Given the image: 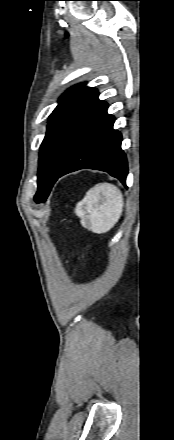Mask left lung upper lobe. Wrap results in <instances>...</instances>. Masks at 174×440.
<instances>
[{
	"instance_id": "1",
	"label": "left lung upper lobe",
	"mask_w": 174,
	"mask_h": 440,
	"mask_svg": "<svg viewBox=\"0 0 174 440\" xmlns=\"http://www.w3.org/2000/svg\"><path fill=\"white\" fill-rule=\"evenodd\" d=\"M102 103L98 91L86 87L85 83L71 87L59 99L49 116L47 133L40 147L38 190L34 197L37 203L49 195L85 124Z\"/></svg>"
}]
</instances>
